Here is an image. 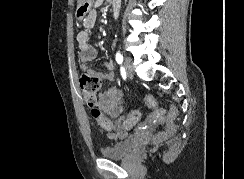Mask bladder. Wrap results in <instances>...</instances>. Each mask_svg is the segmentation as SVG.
<instances>
[{
	"label": "bladder",
	"instance_id": "obj_1",
	"mask_svg": "<svg viewBox=\"0 0 244 179\" xmlns=\"http://www.w3.org/2000/svg\"><path fill=\"white\" fill-rule=\"evenodd\" d=\"M133 138H127L101 149V154L106 159H121L133 151Z\"/></svg>",
	"mask_w": 244,
	"mask_h": 179
}]
</instances>
